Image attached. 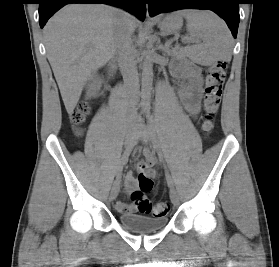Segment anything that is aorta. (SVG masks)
I'll return each instance as SVG.
<instances>
[{
  "label": "aorta",
  "instance_id": "762f6f07",
  "mask_svg": "<svg viewBox=\"0 0 279 267\" xmlns=\"http://www.w3.org/2000/svg\"><path fill=\"white\" fill-rule=\"evenodd\" d=\"M153 83V63L152 58L149 54H146V57L143 61L142 66V80H141V88H142V98L145 101V106H149V99L151 97Z\"/></svg>",
  "mask_w": 279,
  "mask_h": 267
}]
</instances>
